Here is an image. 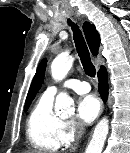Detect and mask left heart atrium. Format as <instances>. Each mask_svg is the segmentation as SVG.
<instances>
[{
    "label": "left heart atrium",
    "mask_w": 130,
    "mask_h": 153,
    "mask_svg": "<svg viewBox=\"0 0 130 153\" xmlns=\"http://www.w3.org/2000/svg\"><path fill=\"white\" fill-rule=\"evenodd\" d=\"M100 103L94 95H84L77 102V115L86 122H92L99 114Z\"/></svg>",
    "instance_id": "1"
}]
</instances>
